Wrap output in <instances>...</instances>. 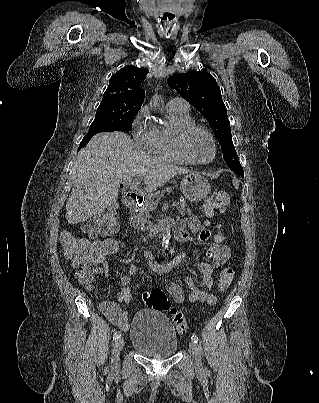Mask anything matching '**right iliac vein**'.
<instances>
[{"mask_svg":"<svg viewBox=\"0 0 319 403\" xmlns=\"http://www.w3.org/2000/svg\"><path fill=\"white\" fill-rule=\"evenodd\" d=\"M123 347H124V339L120 337L115 341L112 350L111 369L113 372H116L119 369V355Z\"/></svg>","mask_w":319,"mask_h":403,"instance_id":"1","label":"right iliac vein"}]
</instances>
